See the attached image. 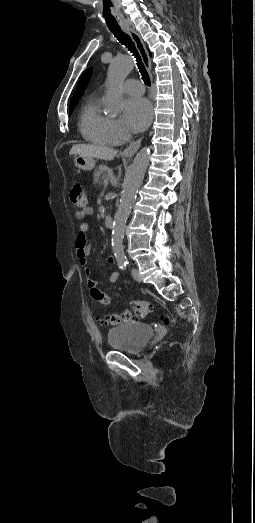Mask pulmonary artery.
<instances>
[{
  "mask_svg": "<svg viewBox=\"0 0 255 523\" xmlns=\"http://www.w3.org/2000/svg\"><path fill=\"white\" fill-rule=\"evenodd\" d=\"M123 87L125 91L130 93L129 97L133 101L138 100L140 94H142L145 90L144 85L138 80H128Z\"/></svg>",
  "mask_w": 255,
  "mask_h": 523,
  "instance_id": "e3ab8cb5",
  "label": "pulmonary artery"
}]
</instances>
